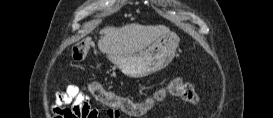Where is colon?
Wrapping results in <instances>:
<instances>
[{"instance_id":"obj_1","label":"colon","mask_w":273,"mask_h":118,"mask_svg":"<svg viewBox=\"0 0 273 118\" xmlns=\"http://www.w3.org/2000/svg\"><path fill=\"white\" fill-rule=\"evenodd\" d=\"M90 49L91 42L86 39L76 43L73 46L72 56L76 65H79L82 60L86 58ZM90 89L93 96L99 102L109 107L115 108L118 114H120V111H122L130 116L142 115L156 102L164 99L168 94L187 97L194 104H197L199 101V97L194 91L193 87L190 84L184 83L180 78L177 77L171 78L163 88L155 91L142 103H136L128 98L119 97L114 93L105 90L102 85L97 81L91 83ZM55 117L63 118L58 114H56Z\"/></svg>"}]
</instances>
